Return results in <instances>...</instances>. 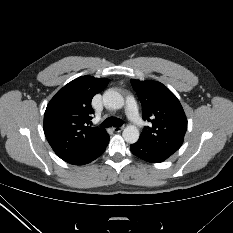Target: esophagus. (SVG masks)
<instances>
[{
	"label": "esophagus",
	"mask_w": 233,
	"mask_h": 233,
	"mask_svg": "<svg viewBox=\"0 0 233 233\" xmlns=\"http://www.w3.org/2000/svg\"><path fill=\"white\" fill-rule=\"evenodd\" d=\"M123 129H124V126H122V127H114L113 131L114 132H121Z\"/></svg>",
	"instance_id": "esophagus-1"
}]
</instances>
